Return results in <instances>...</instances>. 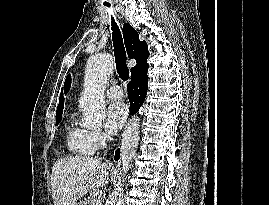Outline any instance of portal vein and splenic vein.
<instances>
[{"label":"portal vein and splenic vein","instance_id":"18ae733b","mask_svg":"<svg viewBox=\"0 0 269 205\" xmlns=\"http://www.w3.org/2000/svg\"><path fill=\"white\" fill-rule=\"evenodd\" d=\"M95 205H102L101 204V200L100 199H97L96 202H95Z\"/></svg>","mask_w":269,"mask_h":205}]
</instances>
